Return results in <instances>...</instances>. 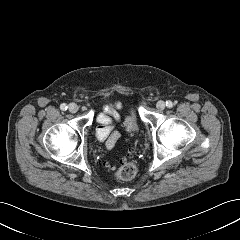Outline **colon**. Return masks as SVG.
<instances>
[{
	"mask_svg": "<svg viewBox=\"0 0 240 240\" xmlns=\"http://www.w3.org/2000/svg\"><path fill=\"white\" fill-rule=\"evenodd\" d=\"M126 127L128 131H134L136 129V122L134 114L127 119ZM137 173V167L127 160L121 162L120 168L118 170L117 176L120 180L127 181L135 177Z\"/></svg>",
	"mask_w": 240,
	"mask_h": 240,
	"instance_id": "colon-1",
	"label": "colon"
}]
</instances>
